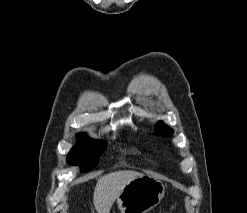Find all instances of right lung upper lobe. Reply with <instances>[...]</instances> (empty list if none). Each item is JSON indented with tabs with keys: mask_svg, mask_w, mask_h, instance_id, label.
Masks as SVG:
<instances>
[{
	"mask_svg": "<svg viewBox=\"0 0 247 213\" xmlns=\"http://www.w3.org/2000/svg\"><path fill=\"white\" fill-rule=\"evenodd\" d=\"M80 137H85V136L83 134H78L77 138H80Z\"/></svg>",
	"mask_w": 247,
	"mask_h": 213,
	"instance_id": "right-lung-upper-lobe-1",
	"label": "right lung upper lobe"
}]
</instances>
